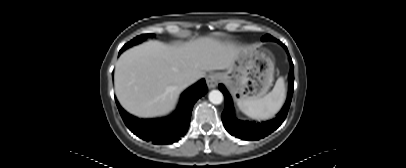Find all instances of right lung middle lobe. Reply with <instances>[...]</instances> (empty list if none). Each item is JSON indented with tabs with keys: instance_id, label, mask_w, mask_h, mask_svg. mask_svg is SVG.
Listing matches in <instances>:
<instances>
[{
	"instance_id": "1",
	"label": "right lung middle lobe",
	"mask_w": 406,
	"mask_h": 168,
	"mask_svg": "<svg viewBox=\"0 0 406 168\" xmlns=\"http://www.w3.org/2000/svg\"><path fill=\"white\" fill-rule=\"evenodd\" d=\"M153 36H154V34H143V35L137 36L136 38H134L133 40H131L130 42L125 44L123 46L122 50H124L132 45L138 44V43L144 41L145 39H147L148 37H153Z\"/></svg>"
}]
</instances>
